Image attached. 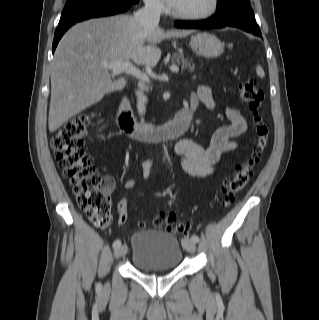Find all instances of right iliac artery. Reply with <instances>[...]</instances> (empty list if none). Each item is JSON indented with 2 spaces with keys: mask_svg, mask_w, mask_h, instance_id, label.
Instances as JSON below:
<instances>
[{
  "mask_svg": "<svg viewBox=\"0 0 319 320\" xmlns=\"http://www.w3.org/2000/svg\"><path fill=\"white\" fill-rule=\"evenodd\" d=\"M121 245V241L119 239L115 240L113 242V248L116 249Z\"/></svg>",
  "mask_w": 319,
  "mask_h": 320,
  "instance_id": "obj_1",
  "label": "right iliac artery"
}]
</instances>
